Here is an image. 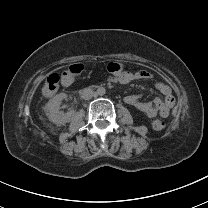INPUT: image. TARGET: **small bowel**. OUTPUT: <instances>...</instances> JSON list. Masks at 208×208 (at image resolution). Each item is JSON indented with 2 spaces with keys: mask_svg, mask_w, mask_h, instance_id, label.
<instances>
[{
  "mask_svg": "<svg viewBox=\"0 0 208 208\" xmlns=\"http://www.w3.org/2000/svg\"><path fill=\"white\" fill-rule=\"evenodd\" d=\"M152 75L145 70H139L135 73H128L125 77L119 80L121 83H129L136 79L148 80ZM159 97L153 102L141 101V95H128L125 97V102L130 106L144 113L149 118L161 116L168 117L175 105V98L172 94L171 88L165 83H158L156 85Z\"/></svg>",
  "mask_w": 208,
  "mask_h": 208,
  "instance_id": "1",
  "label": "small bowel"
}]
</instances>
